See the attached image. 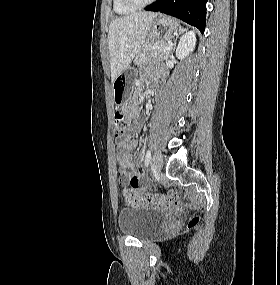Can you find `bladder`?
<instances>
[{
	"label": "bladder",
	"instance_id": "obj_1",
	"mask_svg": "<svg viewBox=\"0 0 280 285\" xmlns=\"http://www.w3.org/2000/svg\"><path fill=\"white\" fill-rule=\"evenodd\" d=\"M163 223V213L155 208H122L118 214L120 232L135 238H149L157 234Z\"/></svg>",
	"mask_w": 280,
	"mask_h": 285
}]
</instances>
